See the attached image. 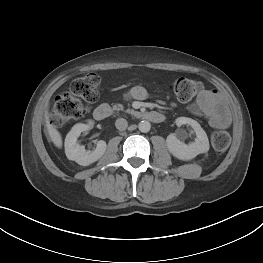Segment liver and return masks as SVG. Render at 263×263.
Returning <instances> with one entry per match:
<instances>
[{
  "instance_id": "obj_1",
  "label": "liver",
  "mask_w": 263,
  "mask_h": 263,
  "mask_svg": "<svg viewBox=\"0 0 263 263\" xmlns=\"http://www.w3.org/2000/svg\"><path fill=\"white\" fill-rule=\"evenodd\" d=\"M45 120H46V127L48 130V134L50 136L51 141L57 148L62 147V137L59 131L49 123L48 111H45Z\"/></svg>"
}]
</instances>
